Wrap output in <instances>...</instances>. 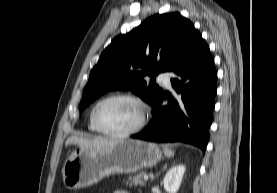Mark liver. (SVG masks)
<instances>
[{
  "mask_svg": "<svg viewBox=\"0 0 277 193\" xmlns=\"http://www.w3.org/2000/svg\"><path fill=\"white\" fill-rule=\"evenodd\" d=\"M114 142H116V140L111 138H103V137L88 138V137L72 136L66 140L65 145L68 146L71 144H76L82 148L100 149V148H105L107 146H110Z\"/></svg>",
  "mask_w": 277,
  "mask_h": 193,
  "instance_id": "6515ba94",
  "label": "liver"
}]
</instances>
